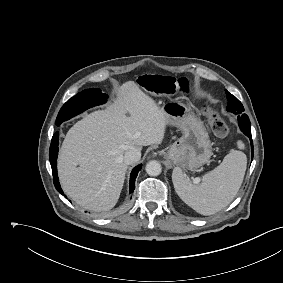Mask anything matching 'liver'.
Masks as SVG:
<instances>
[{
  "instance_id": "6515ba94",
  "label": "liver",
  "mask_w": 283,
  "mask_h": 283,
  "mask_svg": "<svg viewBox=\"0 0 283 283\" xmlns=\"http://www.w3.org/2000/svg\"><path fill=\"white\" fill-rule=\"evenodd\" d=\"M116 92L107 109L86 115L70 128L58 159L64 192L95 211L116 205L128 168L125 152L162 143L168 125L163 109L134 81Z\"/></svg>"
}]
</instances>
